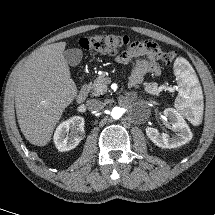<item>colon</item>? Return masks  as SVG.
Wrapping results in <instances>:
<instances>
[{
	"label": "colon",
	"instance_id": "1",
	"mask_svg": "<svg viewBox=\"0 0 215 215\" xmlns=\"http://www.w3.org/2000/svg\"><path fill=\"white\" fill-rule=\"evenodd\" d=\"M80 48L85 51L103 54H115L122 48L130 45L128 36L97 34L82 38L79 41ZM177 56V52L164 53L162 59L166 64H171Z\"/></svg>",
	"mask_w": 215,
	"mask_h": 215
}]
</instances>
